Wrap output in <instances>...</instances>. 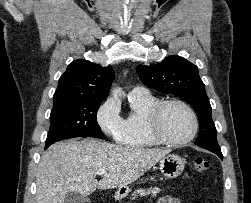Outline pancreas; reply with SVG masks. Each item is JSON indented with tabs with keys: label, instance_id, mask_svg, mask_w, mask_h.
Here are the masks:
<instances>
[{
	"label": "pancreas",
	"instance_id": "obj_1",
	"mask_svg": "<svg viewBox=\"0 0 251 203\" xmlns=\"http://www.w3.org/2000/svg\"><path fill=\"white\" fill-rule=\"evenodd\" d=\"M160 192L159 188H149V189H138L136 191H134V193L132 194V200H134L138 195L140 196H147V195H151V196H156L157 193Z\"/></svg>",
	"mask_w": 251,
	"mask_h": 203
}]
</instances>
